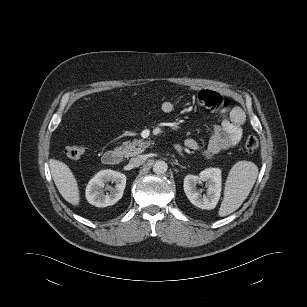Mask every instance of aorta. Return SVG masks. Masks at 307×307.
Masks as SVG:
<instances>
[{"instance_id": "aorta-1", "label": "aorta", "mask_w": 307, "mask_h": 307, "mask_svg": "<svg viewBox=\"0 0 307 307\" xmlns=\"http://www.w3.org/2000/svg\"><path fill=\"white\" fill-rule=\"evenodd\" d=\"M167 170H168V165L165 161L158 160L153 165V171L156 174H164L167 172Z\"/></svg>"}]
</instances>
